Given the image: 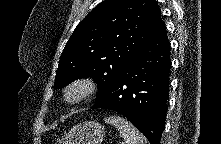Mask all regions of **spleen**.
I'll list each match as a JSON object with an SVG mask.
<instances>
[{"instance_id":"1","label":"spleen","mask_w":221,"mask_h":144,"mask_svg":"<svg viewBox=\"0 0 221 144\" xmlns=\"http://www.w3.org/2000/svg\"><path fill=\"white\" fill-rule=\"evenodd\" d=\"M105 122L117 127L125 144H144L143 135L127 119L114 115L105 118Z\"/></svg>"}]
</instances>
